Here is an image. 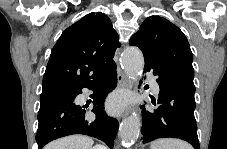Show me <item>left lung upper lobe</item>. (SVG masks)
Masks as SVG:
<instances>
[{
  "mask_svg": "<svg viewBox=\"0 0 227 149\" xmlns=\"http://www.w3.org/2000/svg\"><path fill=\"white\" fill-rule=\"evenodd\" d=\"M138 45L144 58L155 62L172 79L195 91L193 55L183 32L159 16L148 17L130 39Z\"/></svg>",
  "mask_w": 227,
  "mask_h": 149,
  "instance_id": "obj_1",
  "label": "left lung upper lobe"
}]
</instances>
